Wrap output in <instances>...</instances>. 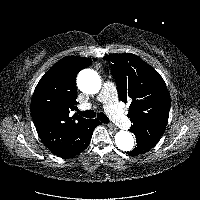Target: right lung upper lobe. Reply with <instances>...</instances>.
<instances>
[{"mask_svg": "<svg viewBox=\"0 0 200 200\" xmlns=\"http://www.w3.org/2000/svg\"><path fill=\"white\" fill-rule=\"evenodd\" d=\"M91 63L89 58L66 56L45 73L35 88L31 116L40 139L57 156L72 148L89 122L69 113L78 104L76 76Z\"/></svg>", "mask_w": 200, "mask_h": 200, "instance_id": "right-lung-upper-lobe-1", "label": "right lung upper lobe"}]
</instances>
